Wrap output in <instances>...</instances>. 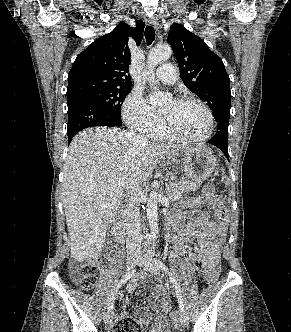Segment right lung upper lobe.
Instances as JSON below:
<instances>
[{
  "label": "right lung upper lobe",
  "instance_id": "cb5924a9",
  "mask_svg": "<svg viewBox=\"0 0 291 332\" xmlns=\"http://www.w3.org/2000/svg\"><path fill=\"white\" fill-rule=\"evenodd\" d=\"M144 26L142 21H137L135 28L120 23L81 52L68 74L67 97L91 90L130 87L128 36L139 45Z\"/></svg>",
  "mask_w": 291,
  "mask_h": 332
}]
</instances>
